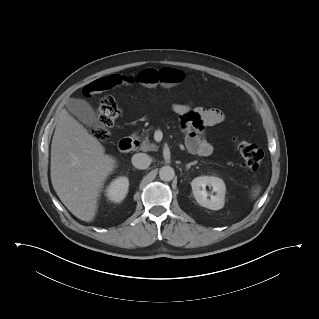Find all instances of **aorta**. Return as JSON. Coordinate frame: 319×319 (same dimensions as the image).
Listing matches in <instances>:
<instances>
[{
    "label": "aorta",
    "mask_w": 319,
    "mask_h": 319,
    "mask_svg": "<svg viewBox=\"0 0 319 319\" xmlns=\"http://www.w3.org/2000/svg\"><path fill=\"white\" fill-rule=\"evenodd\" d=\"M175 176V171L171 166H163L159 170V177L162 181H171Z\"/></svg>",
    "instance_id": "aorta-1"
}]
</instances>
